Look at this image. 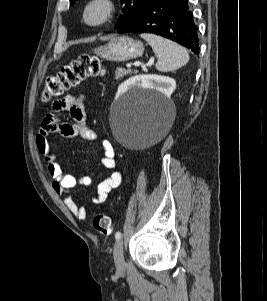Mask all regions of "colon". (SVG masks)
<instances>
[{"instance_id": "1", "label": "colon", "mask_w": 267, "mask_h": 301, "mask_svg": "<svg viewBox=\"0 0 267 301\" xmlns=\"http://www.w3.org/2000/svg\"><path fill=\"white\" fill-rule=\"evenodd\" d=\"M104 73L105 68L98 57L83 54L65 66L57 75L48 77L42 93V99L48 101L61 96L86 78L101 76ZM93 226L102 235H109L112 232L110 217L102 213L94 216Z\"/></svg>"}]
</instances>
